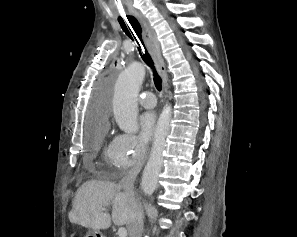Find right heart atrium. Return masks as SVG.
Returning <instances> with one entry per match:
<instances>
[{
  "label": "right heart atrium",
  "mask_w": 297,
  "mask_h": 237,
  "mask_svg": "<svg viewBox=\"0 0 297 237\" xmlns=\"http://www.w3.org/2000/svg\"><path fill=\"white\" fill-rule=\"evenodd\" d=\"M147 153V145L136 135L119 134L113 140V164L119 170H127L141 164Z\"/></svg>",
  "instance_id": "d8ad5b80"
}]
</instances>
